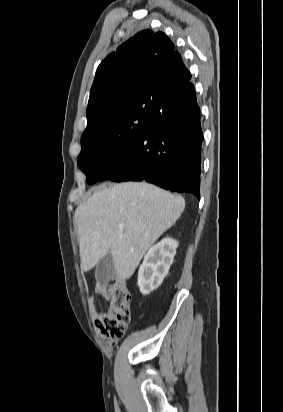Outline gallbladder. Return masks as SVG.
<instances>
[{"mask_svg":"<svg viewBox=\"0 0 283 412\" xmlns=\"http://www.w3.org/2000/svg\"><path fill=\"white\" fill-rule=\"evenodd\" d=\"M115 274V265L110 253H107L103 258L99 260L95 269V278L101 284L106 283Z\"/></svg>","mask_w":283,"mask_h":412,"instance_id":"gallbladder-1","label":"gallbladder"}]
</instances>
